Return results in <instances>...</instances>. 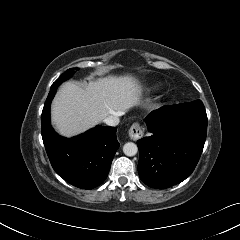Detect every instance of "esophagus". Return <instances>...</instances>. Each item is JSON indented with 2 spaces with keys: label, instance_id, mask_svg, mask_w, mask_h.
<instances>
[{
  "label": "esophagus",
  "instance_id": "34e87169",
  "mask_svg": "<svg viewBox=\"0 0 240 240\" xmlns=\"http://www.w3.org/2000/svg\"><path fill=\"white\" fill-rule=\"evenodd\" d=\"M128 133L129 137L134 141L141 139L144 135V132L139 123L132 124Z\"/></svg>",
  "mask_w": 240,
  "mask_h": 240
}]
</instances>
